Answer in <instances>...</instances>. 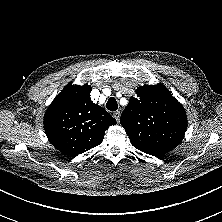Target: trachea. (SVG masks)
Listing matches in <instances>:
<instances>
[{
    "mask_svg": "<svg viewBox=\"0 0 222 222\" xmlns=\"http://www.w3.org/2000/svg\"><path fill=\"white\" fill-rule=\"evenodd\" d=\"M106 108L110 111H116L118 109L117 100L114 97L109 98L106 103Z\"/></svg>",
    "mask_w": 222,
    "mask_h": 222,
    "instance_id": "3493384b",
    "label": "trachea"
}]
</instances>
